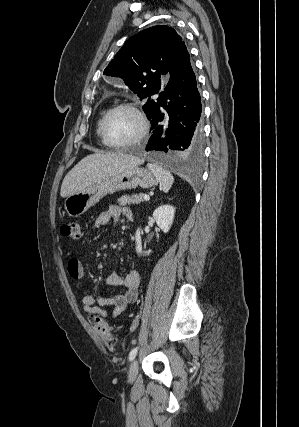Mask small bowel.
I'll return each mask as SVG.
<instances>
[{
    "mask_svg": "<svg viewBox=\"0 0 299 427\" xmlns=\"http://www.w3.org/2000/svg\"><path fill=\"white\" fill-rule=\"evenodd\" d=\"M121 217L132 220L133 214L127 207L112 205L106 211L98 215L94 222V227L100 228L107 225L109 222H117ZM67 270L69 276L77 282L81 281L85 274L84 265L82 261L77 258L69 260ZM107 283L114 287H121L124 291L111 297L99 298L89 293H84L82 297V307L83 310L91 316L116 319L127 309L129 304L136 301L140 285V274L136 270L129 271L124 277L116 273H111L107 276ZM107 306L112 307V310H105L104 307Z\"/></svg>",
    "mask_w": 299,
    "mask_h": 427,
    "instance_id": "1",
    "label": "small bowel"
}]
</instances>
